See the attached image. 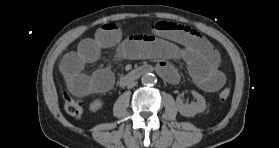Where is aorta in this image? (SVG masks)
<instances>
[{
	"instance_id": "aorta-1",
	"label": "aorta",
	"mask_w": 279,
	"mask_h": 148,
	"mask_svg": "<svg viewBox=\"0 0 279 148\" xmlns=\"http://www.w3.org/2000/svg\"><path fill=\"white\" fill-rule=\"evenodd\" d=\"M141 81L144 85H154L157 82V78L153 73H146L142 76Z\"/></svg>"
}]
</instances>
